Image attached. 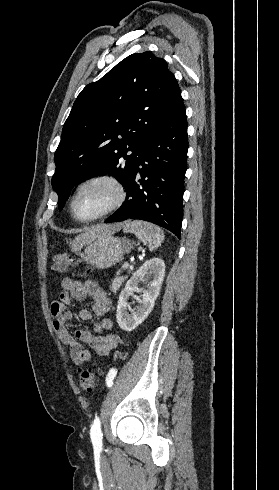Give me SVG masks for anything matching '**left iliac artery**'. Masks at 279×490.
I'll use <instances>...</instances> for the list:
<instances>
[{"mask_svg":"<svg viewBox=\"0 0 279 490\" xmlns=\"http://www.w3.org/2000/svg\"><path fill=\"white\" fill-rule=\"evenodd\" d=\"M117 374V370L112 368L110 369L107 377H106V384L108 387H111L113 385V379ZM90 436L92 440V444L94 449L102 450V432H101V426H100V420L98 417H96L93 421V424L91 426L90 430Z\"/></svg>","mask_w":279,"mask_h":490,"instance_id":"1","label":"left iliac artery"}]
</instances>
